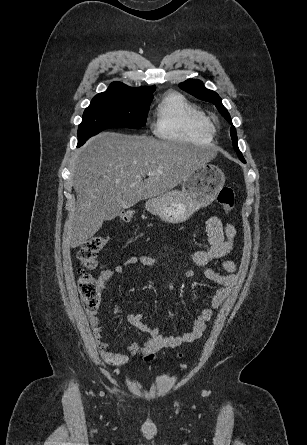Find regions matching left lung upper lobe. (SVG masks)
Listing matches in <instances>:
<instances>
[{
	"label": "left lung upper lobe",
	"mask_w": 307,
	"mask_h": 445,
	"mask_svg": "<svg viewBox=\"0 0 307 445\" xmlns=\"http://www.w3.org/2000/svg\"><path fill=\"white\" fill-rule=\"evenodd\" d=\"M179 86L181 89L187 91L188 93L192 94L196 98L215 104L218 111L224 116V118L230 124H232L230 115H229L228 111L226 110V108L223 106L219 95L217 93H215L214 91L206 89L204 87V84L202 83V81L197 80V79H188V80L184 81L183 83L179 84ZM231 138H232V142H233L234 148L237 152L239 159L245 163V160H244L241 152L238 149L237 135H236V130H235L234 126L231 127Z\"/></svg>",
	"instance_id": "left-lung-upper-lobe-1"
}]
</instances>
